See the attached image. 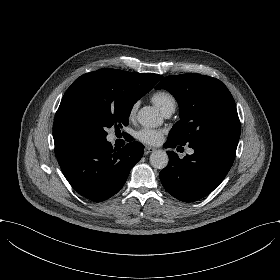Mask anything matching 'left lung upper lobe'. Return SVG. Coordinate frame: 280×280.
<instances>
[{
  "instance_id": "1",
  "label": "left lung upper lobe",
  "mask_w": 280,
  "mask_h": 280,
  "mask_svg": "<svg viewBox=\"0 0 280 280\" xmlns=\"http://www.w3.org/2000/svg\"><path fill=\"white\" fill-rule=\"evenodd\" d=\"M177 100L180 120L169 137L180 144L211 140L239 141L240 122L235 101L220 80L200 75L167 76L155 87Z\"/></svg>"
}]
</instances>
